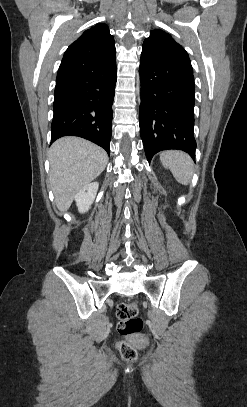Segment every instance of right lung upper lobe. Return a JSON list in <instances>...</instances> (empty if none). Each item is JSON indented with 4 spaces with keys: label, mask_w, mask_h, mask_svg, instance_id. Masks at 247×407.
<instances>
[{
    "label": "right lung upper lobe",
    "mask_w": 247,
    "mask_h": 407,
    "mask_svg": "<svg viewBox=\"0 0 247 407\" xmlns=\"http://www.w3.org/2000/svg\"><path fill=\"white\" fill-rule=\"evenodd\" d=\"M115 57V42L108 26L97 24L91 27L64 53L55 89L80 81L94 68L115 60Z\"/></svg>",
    "instance_id": "cb5924a9"
}]
</instances>
